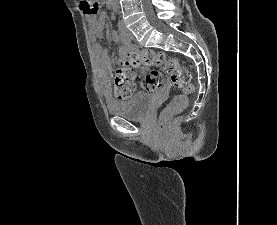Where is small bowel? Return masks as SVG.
<instances>
[{"label":"small bowel","instance_id":"c3829d8e","mask_svg":"<svg viewBox=\"0 0 277 225\" xmlns=\"http://www.w3.org/2000/svg\"><path fill=\"white\" fill-rule=\"evenodd\" d=\"M87 20L91 25V35L93 37L100 36L103 32V28L106 22V16L102 14L99 18H96L94 15H87ZM111 39L116 42L120 43L121 39L119 34L116 31H112L110 33ZM92 52L93 56L95 58L97 66L100 68L101 74H104L105 72L109 71L111 69V63L108 56V53L103 51L101 46L97 42H93L92 45ZM120 57L125 56V48L120 49ZM106 87V84H104V88ZM106 95H108V92L105 90Z\"/></svg>","mask_w":277,"mask_h":225}]
</instances>
